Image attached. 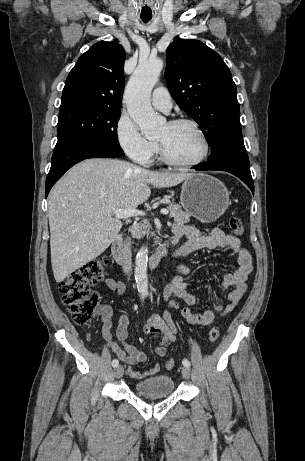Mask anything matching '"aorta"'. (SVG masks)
Here are the masks:
<instances>
[{"label": "aorta", "mask_w": 305, "mask_h": 461, "mask_svg": "<svg viewBox=\"0 0 305 461\" xmlns=\"http://www.w3.org/2000/svg\"><path fill=\"white\" fill-rule=\"evenodd\" d=\"M163 68L161 59H149L139 63L125 90L128 113L147 138L158 136L166 119L156 114L150 104L151 91ZM148 249L143 246L136 255L135 281L140 296L148 295Z\"/></svg>", "instance_id": "1"}]
</instances>
